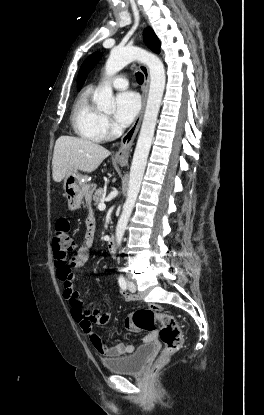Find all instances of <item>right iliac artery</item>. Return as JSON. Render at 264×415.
<instances>
[{
	"instance_id": "right-iliac-artery-1",
	"label": "right iliac artery",
	"mask_w": 264,
	"mask_h": 415,
	"mask_svg": "<svg viewBox=\"0 0 264 415\" xmlns=\"http://www.w3.org/2000/svg\"><path fill=\"white\" fill-rule=\"evenodd\" d=\"M120 271H123V268H120ZM118 282H119L120 287L123 290H126L127 289V282H126V280H125L124 277H120Z\"/></svg>"
}]
</instances>
